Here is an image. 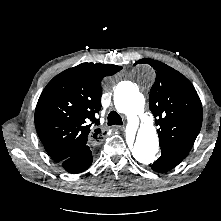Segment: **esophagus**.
<instances>
[{
  "instance_id": "34e87169",
  "label": "esophagus",
  "mask_w": 221,
  "mask_h": 221,
  "mask_svg": "<svg viewBox=\"0 0 221 221\" xmlns=\"http://www.w3.org/2000/svg\"><path fill=\"white\" fill-rule=\"evenodd\" d=\"M116 128L119 129V130H124L125 129L124 126H116Z\"/></svg>"
}]
</instances>
